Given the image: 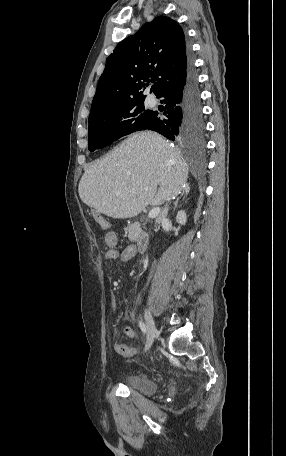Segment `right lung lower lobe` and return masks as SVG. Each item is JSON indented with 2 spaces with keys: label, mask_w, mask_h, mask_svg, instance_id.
<instances>
[{
  "label": "right lung lower lobe",
  "mask_w": 286,
  "mask_h": 456,
  "mask_svg": "<svg viewBox=\"0 0 286 456\" xmlns=\"http://www.w3.org/2000/svg\"><path fill=\"white\" fill-rule=\"evenodd\" d=\"M157 97L163 98L161 102L166 104V109L164 113L155 111L146 129L157 131L168 139L175 140L197 137L195 133L188 134L186 127L201 124V137L204 128L203 115L197 75L192 61L186 75L165 88Z\"/></svg>",
  "instance_id": "98d812e1"
}]
</instances>
